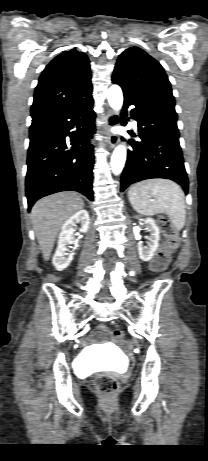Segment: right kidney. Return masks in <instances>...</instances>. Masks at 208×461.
<instances>
[{"label":"right kidney","mask_w":208,"mask_h":461,"mask_svg":"<svg viewBox=\"0 0 208 461\" xmlns=\"http://www.w3.org/2000/svg\"><path fill=\"white\" fill-rule=\"evenodd\" d=\"M78 223L81 224L80 232L86 233L90 224L89 214L86 210L78 211L62 225L58 246L52 259V263L58 271L67 268L73 259V251L71 254L67 253L69 245L73 244L75 249L79 247L78 240L74 239V227Z\"/></svg>","instance_id":"ca27d5eb"}]
</instances>
